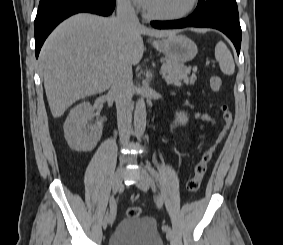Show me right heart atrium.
Instances as JSON below:
<instances>
[{
	"label": "right heart atrium",
	"instance_id": "d8ad5b80",
	"mask_svg": "<svg viewBox=\"0 0 283 245\" xmlns=\"http://www.w3.org/2000/svg\"><path fill=\"white\" fill-rule=\"evenodd\" d=\"M117 2L126 9H131L133 7V0H117Z\"/></svg>",
	"mask_w": 283,
	"mask_h": 245
}]
</instances>
